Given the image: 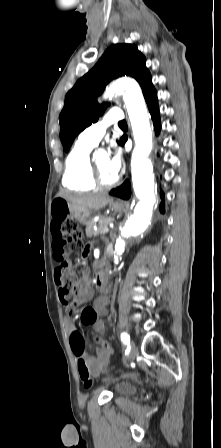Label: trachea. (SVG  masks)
Listing matches in <instances>:
<instances>
[{"label":"trachea","instance_id":"3493384b","mask_svg":"<svg viewBox=\"0 0 221 448\" xmlns=\"http://www.w3.org/2000/svg\"><path fill=\"white\" fill-rule=\"evenodd\" d=\"M118 125H119L120 127H124V126H127V123H126L125 120H123V121L119 122Z\"/></svg>","mask_w":221,"mask_h":448}]
</instances>
